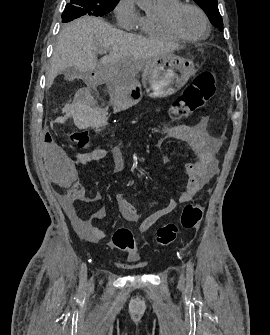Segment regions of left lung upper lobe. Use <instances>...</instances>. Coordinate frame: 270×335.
<instances>
[{"instance_id":"left-lung-upper-lobe-1","label":"left lung upper lobe","mask_w":270,"mask_h":335,"mask_svg":"<svg viewBox=\"0 0 270 335\" xmlns=\"http://www.w3.org/2000/svg\"><path fill=\"white\" fill-rule=\"evenodd\" d=\"M207 14L210 22L220 30H223V20L218 10L217 0H194Z\"/></svg>"}]
</instances>
